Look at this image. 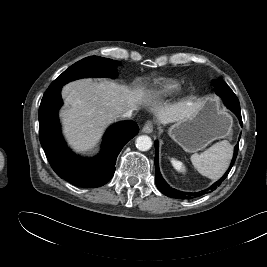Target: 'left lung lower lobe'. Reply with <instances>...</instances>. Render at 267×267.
<instances>
[{"label":"left lung lower lobe","mask_w":267,"mask_h":267,"mask_svg":"<svg viewBox=\"0 0 267 267\" xmlns=\"http://www.w3.org/2000/svg\"><path fill=\"white\" fill-rule=\"evenodd\" d=\"M223 101L224 104L233 112L236 114L240 121V125L242 126V118H241V111H240V103L236 95L233 93V91L230 89L222 95H219ZM155 149H156V155H155V182L158 187V189L165 194L166 196L172 197V198H179V199H190L194 197H199L203 195L207 190L214 189L215 187L219 186L221 182L225 179L227 174L229 173L232 165L229 167L228 171L225 173V175L216 183H214L209 189L203 190L201 192L196 193H186L182 191L175 190L171 188L165 180L162 178L161 173L159 171V162H158V142L155 141ZM238 153V144L235 146L234 149V155H233V161L236 159Z\"/></svg>","instance_id":"0a47b994"}]
</instances>
